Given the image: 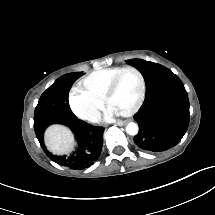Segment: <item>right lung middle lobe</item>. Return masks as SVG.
<instances>
[{"mask_svg": "<svg viewBox=\"0 0 215 215\" xmlns=\"http://www.w3.org/2000/svg\"><path fill=\"white\" fill-rule=\"evenodd\" d=\"M81 75L77 73L63 76L49 87L36 106L34 121L58 116L75 118L69 106L68 94L72 84Z\"/></svg>", "mask_w": 215, "mask_h": 215, "instance_id": "right-lung-middle-lobe-1", "label": "right lung middle lobe"}]
</instances>
